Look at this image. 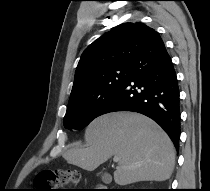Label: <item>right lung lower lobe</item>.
I'll return each instance as SVG.
<instances>
[{"label": "right lung lower lobe", "mask_w": 210, "mask_h": 191, "mask_svg": "<svg viewBox=\"0 0 210 191\" xmlns=\"http://www.w3.org/2000/svg\"><path fill=\"white\" fill-rule=\"evenodd\" d=\"M114 111H134L152 118L178 149L179 87L173 63L159 34L132 60L127 79L105 103L99 116Z\"/></svg>", "instance_id": "98d812e1"}]
</instances>
